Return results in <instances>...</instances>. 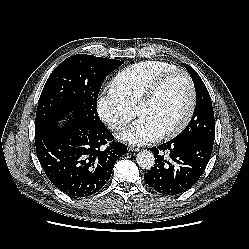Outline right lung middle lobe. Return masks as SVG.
Returning a JSON list of instances; mask_svg holds the SVG:
<instances>
[{
  "label": "right lung middle lobe",
  "mask_w": 249,
  "mask_h": 249,
  "mask_svg": "<svg viewBox=\"0 0 249 249\" xmlns=\"http://www.w3.org/2000/svg\"><path fill=\"white\" fill-rule=\"evenodd\" d=\"M121 64L123 62L116 59L81 54L64 60L51 73L42 90L35 131L53 126L65 117L84 121L95 128L105 127L96 110L98 93L106 75ZM71 111L73 115H69Z\"/></svg>",
  "instance_id": "1"
}]
</instances>
